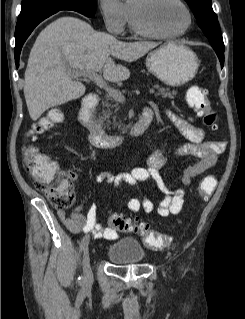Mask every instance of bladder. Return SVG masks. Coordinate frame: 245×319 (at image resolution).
<instances>
[{"mask_svg": "<svg viewBox=\"0 0 245 319\" xmlns=\"http://www.w3.org/2000/svg\"><path fill=\"white\" fill-rule=\"evenodd\" d=\"M106 257L116 264H138L144 261L145 252L134 238H117L108 247Z\"/></svg>", "mask_w": 245, "mask_h": 319, "instance_id": "obj_1", "label": "bladder"}]
</instances>
